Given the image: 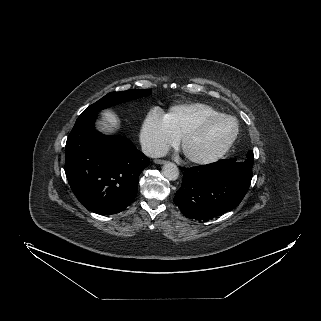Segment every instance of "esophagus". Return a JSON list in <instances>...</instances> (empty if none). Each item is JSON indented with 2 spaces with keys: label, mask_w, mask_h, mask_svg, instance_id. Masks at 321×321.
<instances>
[{
  "label": "esophagus",
  "mask_w": 321,
  "mask_h": 321,
  "mask_svg": "<svg viewBox=\"0 0 321 321\" xmlns=\"http://www.w3.org/2000/svg\"><path fill=\"white\" fill-rule=\"evenodd\" d=\"M154 162H155L156 164H164V163H166V161H165V160H162V159H155Z\"/></svg>",
  "instance_id": "obj_1"
}]
</instances>
